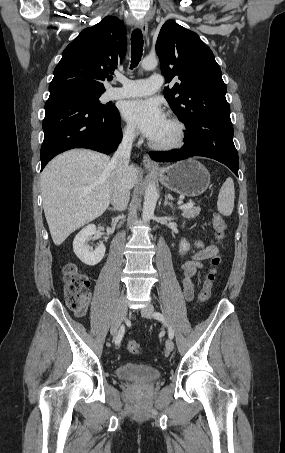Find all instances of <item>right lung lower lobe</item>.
Returning <instances> with one entry per match:
<instances>
[{
	"instance_id": "1",
	"label": "right lung lower lobe",
	"mask_w": 285,
	"mask_h": 453,
	"mask_svg": "<svg viewBox=\"0 0 285 453\" xmlns=\"http://www.w3.org/2000/svg\"><path fill=\"white\" fill-rule=\"evenodd\" d=\"M41 170L57 154L73 148L114 152L121 139L120 115L96 112L72 92H53L45 104Z\"/></svg>"
}]
</instances>
